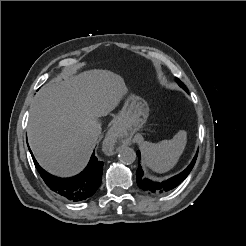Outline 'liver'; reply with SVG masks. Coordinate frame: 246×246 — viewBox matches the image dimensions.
<instances>
[{
    "instance_id": "6515ba94",
    "label": "liver",
    "mask_w": 246,
    "mask_h": 246,
    "mask_svg": "<svg viewBox=\"0 0 246 246\" xmlns=\"http://www.w3.org/2000/svg\"><path fill=\"white\" fill-rule=\"evenodd\" d=\"M126 93L123 78L105 70L63 75L45 85L31 104L27 127L39 164L62 177L81 171L97 141L92 122L114 110Z\"/></svg>"
}]
</instances>
